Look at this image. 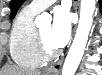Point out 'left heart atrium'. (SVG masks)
Masks as SVG:
<instances>
[{
    "instance_id": "39dd6f15",
    "label": "left heart atrium",
    "mask_w": 102,
    "mask_h": 75,
    "mask_svg": "<svg viewBox=\"0 0 102 75\" xmlns=\"http://www.w3.org/2000/svg\"><path fill=\"white\" fill-rule=\"evenodd\" d=\"M71 36V19L66 9L58 7L54 12V19L50 30V41L55 48L67 44Z\"/></svg>"
}]
</instances>
